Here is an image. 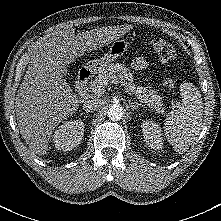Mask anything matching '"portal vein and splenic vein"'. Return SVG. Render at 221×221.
I'll return each instance as SVG.
<instances>
[{"label":"portal vein and splenic vein","mask_w":221,"mask_h":221,"mask_svg":"<svg viewBox=\"0 0 221 221\" xmlns=\"http://www.w3.org/2000/svg\"><path fill=\"white\" fill-rule=\"evenodd\" d=\"M118 81H117V79L115 78L114 80H113V83H117ZM100 91V86L99 87H97L95 90H94V92H99Z\"/></svg>","instance_id":"portal-vein-and-splenic-vein-1"}]
</instances>
